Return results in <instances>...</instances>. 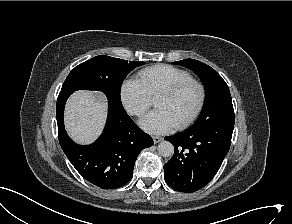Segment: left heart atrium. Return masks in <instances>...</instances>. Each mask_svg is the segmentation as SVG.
<instances>
[{
    "mask_svg": "<svg viewBox=\"0 0 292 224\" xmlns=\"http://www.w3.org/2000/svg\"><path fill=\"white\" fill-rule=\"evenodd\" d=\"M139 124L144 131L156 135L170 132L176 126L167 112L159 108L146 114Z\"/></svg>",
    "mask_w": 292,
    "mask_h": 224,
    "instance_id": "1",
    "label": "left heart atrium"
}]
</instances>
